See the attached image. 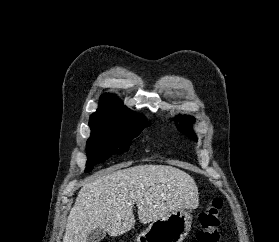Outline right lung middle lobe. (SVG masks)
Listing matches in <instances>:
<instances>
[{"mask_svg":"<svg viewBox=\"0 0 279 242\" xmlns=\"http://www.w3.org/2000/svg\"><path fill=\"white\" fill-rule=\"evenodd\" d=\"M147 122L137 125H116L110 122H89L91 136L86 144L88 156L86 172L95 164L101 163L114 154L124 153L129 149L130 141L137 137Z\"/></svg>","mask_w":279,"mask_h":242,"instance_id":"1","label":"right lung middle lobe"}]
</instances>
